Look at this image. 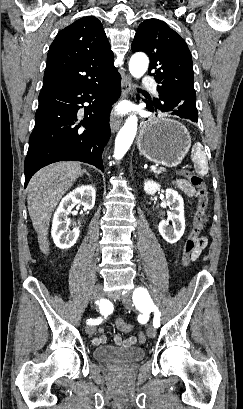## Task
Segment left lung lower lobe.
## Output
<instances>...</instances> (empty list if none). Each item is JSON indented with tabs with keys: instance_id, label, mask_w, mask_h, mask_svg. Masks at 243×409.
<instances>
[{
	"instance_id": "1",
	"label": "left lung lower lobe",
	"mask_w": 243,
	"mask_h": 409,
	"mask_svg": "<svg viewBox=\"0 0 243 409\" xmlns=\"http://www.w3.org/2000/svg\"><path fill=\"white\" fill-rule=\"evenodd\" d=\"M144 102L147 104L146 108L151 112H169L172 115L197 122L198 111L192 102L186 100L182 102L168 95H160L159 99L144 100Z\"/></svg>"
}]
</instances>
